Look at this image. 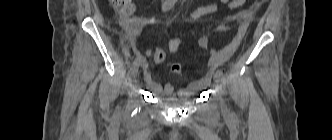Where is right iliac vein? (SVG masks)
<instances>
[{
	"mask_svg": "<svg viewBox=\"0 0 332 140\" xmlns=\"http://www.w3.org/2000/svg\"><path fill=\"white\" fill-rule=\"evenodd\" d=\"M138 67H139V63H137V64H135V65L133 66V69H132V71H131V76H132V77H135V76H136L137 71H138Z\"/></svg>",
	"mask_w": 332,
	"mask_h": 140,
	"instance_id": "obj_1",
	"label": "right iliac vein"
}]
</instances>
